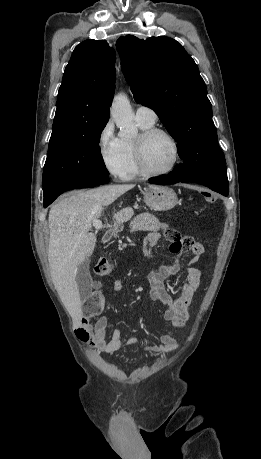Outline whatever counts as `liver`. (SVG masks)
Segmentation results:
<instances>
[{
  "instance_id": "6515ba94",
  "label": "liver",
  "mask_w": 261,
  "mask_h": 459,
  "mask_svg": "<svg viewBox=\"0 0 261 459\" xmlns=\"http://www.w3.org/2000/svg\"><path fill=\"white\" fill-rule=\"evenodd\" d=\"M133 187V184H118L69 192L49 212L48 261L52 280L74 326H78L82 318L76 273L96 245L95 234L89 232L93 220L101 216L104 206L112 204ZM132 215L133 210L127 207L114 218L123 222Z\"/></svg>"
}]
</instances>
